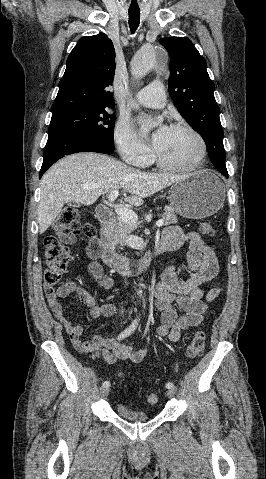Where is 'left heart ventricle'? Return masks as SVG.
I'll return each instance as SVG.
<instances>
[{"label": "left heart ventricle", "mask_w": 266, "mask_h": 479, "mask_svg": "<svg viewBox=\"0 0 266 479\" xmlns=\"http://www.w3.org/2000/svg\"><path fill=\"white\" fill-rule=\"evenodd\" d=\"M198 150V143L189 132L168 129L156 153L166 163L185 164L195 160Z\"/></svg>", "instance_id": "1"}]
</instances>
